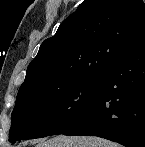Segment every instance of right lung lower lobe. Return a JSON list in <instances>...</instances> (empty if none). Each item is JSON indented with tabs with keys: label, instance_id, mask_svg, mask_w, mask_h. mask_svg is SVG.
Here are the masks:
<instances>
[{
	"label": "right lung lower lobe",
	"instance_id": "right-lung-lower-lobe-1",
	"mask_svg": "<svg viewBox=\"0 0 145 147\" xmlns=\"http://www.w3.org/2000/svg\"><path fill=\"white\" fill-rule=\"evenodd\" d=\"M101 76L92 102L61 134L98 136L125 147H145V38Z\"/></svg>",
	"mask_w": 145,
	"mask_h": 147
}]
</instances>
